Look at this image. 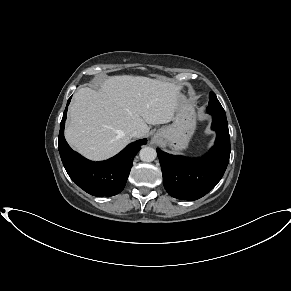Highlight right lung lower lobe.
Masks as SVG:
<instances>
[{
	"instance_id": "98d812e1",
	"label": "right lung lower lobe",
	"mask_w": 291,
	"mask_h": 291,
	"mask_svg": "<svg viewBox=\"0 0 291 291\" xmlns=\"http://www.w3.org/2000/svg\"><path fill=\"white\" fill-rule=\"evenodd\" d=\"M71 97L60 124L58 149L63 165L70 178L85 192L97 197H109L120 193L125 187L133 159L147 139L137 140L128 145L115 157L93 162L73 151L64 137V125Z\"/></svg>"
}]
</instances>
